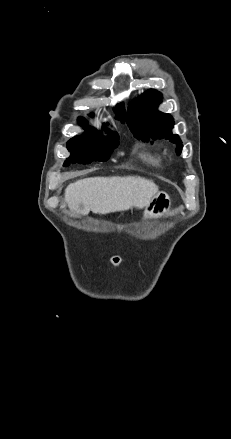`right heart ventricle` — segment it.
I'll list each match as a JSON object with an SVG mask.
<instances>
[{
    "instance_id": "obj_1",
    "label": "right heart ventricle",
    "mask_w": 231,
    "mask_h": 439,
    "mask_svg": "<svg viewBox=\"0 0 231 439\" xmlns=\"http://www.w3.org/2000/svg\"><path fill=\"white\" fill-rule=\"evenodd\" d=\"M140 156L143 160H145L146 162H148L153 166H160L162 163L163 155L161 152L157 150H153L150 148H143L140 151Z\"/></svg>"
}]
</instances>
